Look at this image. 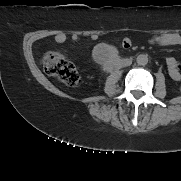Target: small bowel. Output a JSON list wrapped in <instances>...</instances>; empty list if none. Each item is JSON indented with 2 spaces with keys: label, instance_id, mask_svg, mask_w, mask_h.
Returning a JSON list of instances; mask_svg holds the SVG:
<instances>
[{
  "label": "small bowel",
  "instance_id": "1",
  "mask_svg": "<svg viewBox=\"0 0 181 181\" xmlns=\"http://www.w3.org/2000/svg\"><path fill=\"white\" fill-rule=\"evenodd\" d=\"M73 41H78V35H72ZM67 40V36L64 33H58L54 37V41L57 44H62ZM151 44H158L161 46H174L181 45V35L178 33H164L161 35H155L150 39ZM124 48H128L131 45V42L128 38H124L121 42ZM167 70L170 77L175 81L181 80V65L172 57L166 59Z\"/></svg>",
  "mask_w": 181,
  "mask_h": 181
}]
</instances>
